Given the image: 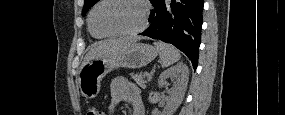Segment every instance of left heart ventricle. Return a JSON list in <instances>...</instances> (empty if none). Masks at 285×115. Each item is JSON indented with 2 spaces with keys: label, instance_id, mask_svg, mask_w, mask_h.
<instances>
[{
  "label": "left heart ventricle",
  "instance_id": "left-heart-ventricle-1",
  "mask_svg": "<svg viewBox=\"0 0 285 115\" xmlns=\"http://www.w3.org/2000/svg\"><path fill=\"white\" fill-rule=\"evenodd\" d=\"M141 19L140 7L124 0L107 1L94 14L95 26L111 32L135 30L141 25Z\"/></svg>",
  "mask_w": 285,
  "mask_h": 115
}]
</instances>
